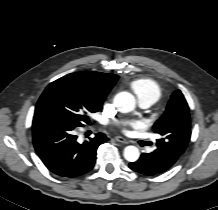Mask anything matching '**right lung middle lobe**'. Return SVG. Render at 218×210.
Segmentation results:
<instances>
[{
    "mask_svg": "<svg viewBox=\"0 0 218 210\" xmlns=\"http://www.w3.org/2000/svg\"><path fill=\"white\" fill-rule=\"evenodd\" d=\"M101 106L85 96L71 91L62 84L50 83L35 108L34 116L49 115L69 120L74 126H83L88 122L87 114L99 111Z\"/></svg>",
    "mask_w": 218,
    "mask_h": 210,
    "instance_id": "obj_1",
    "label": "right lung middle lobe"
}]
</instances>
